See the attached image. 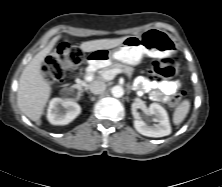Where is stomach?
Segmentation results:
<instances>
[{
  "label": "stomach",
  "instance_id": "obj_1",
  "mask_svg": "<svg viewBox=\"0 0 222 187\" xmlns=\"http://www.w3.org/2000/svg\"><path fill=\"white\" fill-rule=\"evenodd\" d=\"M177 44L172 36L161 29L151 28L140 36H128L112 50L98 49L89 56L90 64L122 62L137 65L143 56L160 57L176 52Z\"/></svg>",
  "mask_w": 222,
  "mask_h": 187
}]
</instances>
